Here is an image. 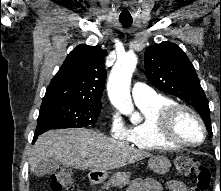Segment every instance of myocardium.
<instances>
[{
    "instance_id": "obj_1",
    "label": "myocardium",
    "mask_w": 221,
    "mask_h": 191,
    "mask_svg": "<svg viewBox=\"0 0 221 191\" xmlns=\"http://www.w3.org/2000/svg\"><path fill=\"white\" fill-rule=\"evenodd\" d=\"M192 117L201 130V139L190 142L183 139L177 131V121L182 115ZM158 133L164 143L168 145H179L182 147H195L202 144L206 138V127L200 115L191 107L173 103L161 109L158 120Z\"/></svg>"
}]
</instances>
